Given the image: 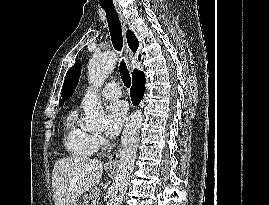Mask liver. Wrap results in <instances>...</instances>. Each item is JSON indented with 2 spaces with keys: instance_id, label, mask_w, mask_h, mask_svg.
<instances>
[{
  "instance_id": "1",
  "label": "liver",
  "mask_w": 269,
  "mask_h": 205,
  "mask_svg": "<svg viewBox=\"0 0 269 205\" xmlns=\"http://www.w3.org/2000/svg\"><path fill=\"white\" fill-rule=\"evenodd\" d=\"M103 164L82 156L58 159L52 171L55 205H76L80 196L100 184Z\"/></svg>"
}]
</instances>
